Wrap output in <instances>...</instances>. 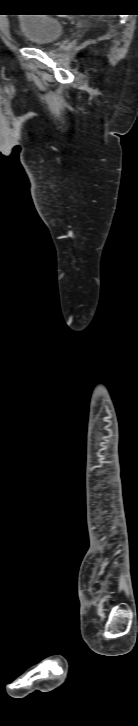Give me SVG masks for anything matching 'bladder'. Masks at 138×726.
<instances>
[{"label": "bladder", "instance_id": "obj_1", "mask_svg": "<svg viewBox=\"0 0 138 726\" xmlns=\"http://www.w3.org/2000/svg\"><path fill=\"white\" fill-rule=\"evenodd\" d=\"M24 41L33 47H47L57 42L64 33L62 22L40 16L27 14L17 21Z\"/></svg>", "mask_w": 138, "mask_h": 726}]
</instances>
